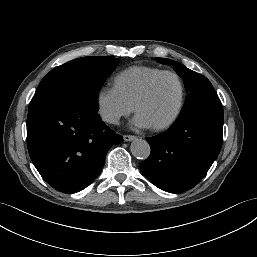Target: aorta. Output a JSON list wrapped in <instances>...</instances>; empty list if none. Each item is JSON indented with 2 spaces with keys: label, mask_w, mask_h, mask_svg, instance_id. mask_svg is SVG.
<instances>
[{
  "label": "aorta",
  "mask_w": 257,
  "mask_h": 257,
  "mask_svg": "<svg viewBox=\"0 0 257 257\" xmlns=\"http://www.w3.org/2000/svg\"><path fill=\"white\" fill-rule=\"evenodd\" d=\"M131 153L134 157L145 160L150 155V146L146 140L136 139L131 143Z\"/></svg>",
  "instance_id": "obj_1"
}]
</instances>
